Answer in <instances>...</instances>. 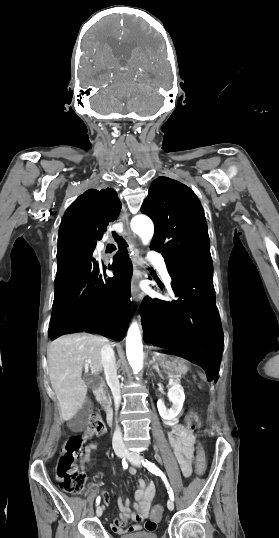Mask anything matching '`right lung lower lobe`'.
<instances>
[{
	"instance_id": "1",
	"label": "right lung lower lobe",
	"mask_w": 279,
	"mask_h": 538,
	"mask_svg": "<svg viewBox=\"0 0 279 538\" xmlns=\"http://www.w3.org/2000/svg\"><path fill=\"white\" fill-rule=\"evenodd\" d=\"M121 210L113 189L87 190L65 212L58 232L57 275L48 335L86 331L121 338L128 328L132 263L115 232L119 251L113 278L92 258L96 241Z\"/></svg>"
}]
</instances>
